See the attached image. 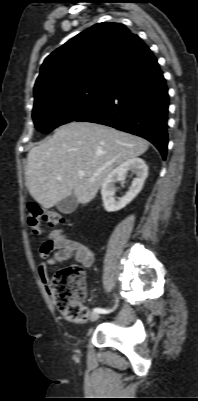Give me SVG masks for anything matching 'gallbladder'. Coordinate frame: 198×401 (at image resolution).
Wrapping results in <instances>:
<instances>
[{"label": "gallbladder", "instance_id": "1", "mask_svg": "<svg viewBox=\"0 0 198 401\" xmlns=\"http://www.w3.org/2000/svg\"><path fill=\"white\" fill-rule=\"evenodd\" d=\"M77 205H78L77 197L74 193H72L69 196L60 200L57 203L56 207L58 211H60L63 214H70L76 209Z\"/></svg>", "mask_w": 198, "mask_h": 401}]
</instances>
